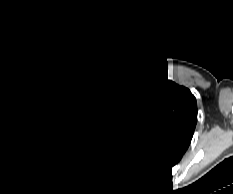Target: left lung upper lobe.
I'll return each instance as SVG.
<instances>
[{
	"label": "left lung upper lobe",
	"instance_id": "1",
	"mask_svg": "<svg viewBox=\"0 0 233 194\" xmlns=\"http://www.w3.org/2000/svg\"><path fill=\"white\" fill-rule=\"evenodd\" d=\"M149 136L145 152L182 157L197 122V103L185 87L168 79L148 78L133 89Z\"/></svg>",
	"mask_w": 233,
	"mask_h": 194
}]
</instances>
